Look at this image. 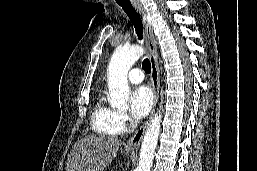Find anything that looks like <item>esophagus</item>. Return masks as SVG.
<instances>
[{
  "mask_svg": "<svg viewBox=\"0 0 257 171\" xmlns=\"http://www.w3.org/2000/svg\"><path fill=\"white\" fill-rule=\"evenodd\" d=\"M133 6L141 15L144 28H145V39H146V44L149 52V60L151 64V81H152V88L154 92V103L148 119L141 125V127L132 135V137L125 144V148L127 150L137 151L142 142L143 136L146 132V129L149 125L150 119L153 116L156 104L158 102L160 80H159V69L157 64V46H156V42L153 34V27H152L151 21L142 4L138 2H134Z\"/></svg>",
  "mask_w": 257,
  "mask_h": 171,
  "instance_id": "1",
  "label": "esophagus"
}]
</instances>
